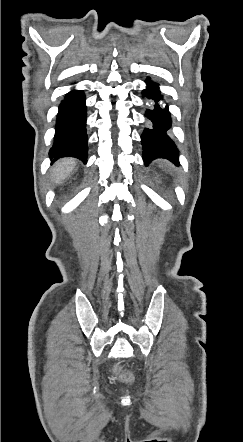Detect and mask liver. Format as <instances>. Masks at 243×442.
Wrapping results in <instances>:
<instances>
[{
  "label": "liver",
  "mask_w": 243,
  "mask_h": 442,
  "mask_svg": "<svg viewBox=\"0 0 243 442\" xmlns=\"http://www.w3.org/2000/svg\"><path fill=\"white\" fill-rule=\"evenodd\" d=\"M76 162L73 158L59 160L52 168V179L56 184L64 181L74 169Z\"/></svg>",
  "instance_id": "liver-1"
}]
</instances>
